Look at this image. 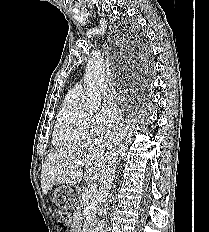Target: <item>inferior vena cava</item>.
Here are the masks:
<instances>
[{"label":"inferior vena cava","instance_id":"inferior-vena-cava-1","mask_svg":"<svg viewBox=\"0 0 209 232\" xmlns=\"http://www.w3.org/2000/svg\"><path fill=\"white\" fill-rule=\"evenodd\" d=\"M105 138L109 141V153L113 155V160L107 165L101 176V182L99 187V196L104 203L110 195V189L115 175L116 160H118V155L121 153L117 150V141L115 140V135L110 131L107 132Z\"/></svg>","mask_w":209,"mask_h":232}]
</instances>
